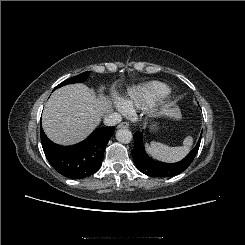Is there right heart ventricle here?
Wrapping results in <instances>:
<instances>
[{"label": "right heart ventricle", "mask_w": 245, "mask_h": 245, "mask_svg": "<svg viewBox=\"0 0 245 245\" xmlns=\"http://www.w3.org/2000/svg\"><path fill=\"white\" fill-rule=\"evenodd\" d=\"M170 89L164 83L152 81L143 85L134 86L127 90L120 102L129 111L134 107H146L154 102L166 98Z\"/></svg>", "instance_id": "1"}]
</instances>
